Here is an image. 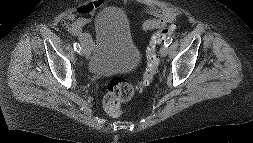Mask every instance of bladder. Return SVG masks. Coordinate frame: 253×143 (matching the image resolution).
<instances>
[{"instance_id":"obj_1","label":"bladder","mask_w":253,"mask_h":143,"mask_svg":"<svg viewBox=\"0 0 253 143\" xmlns=\"http://www.w3.org/2000/svg\"><path fill=\"white\" fill-rule=\"evenodd\" d=\"M95 42L87 60L90 73L99 76L129 71L141 58L133 40L125 11L117 6L101 10L95 17Z\"/></svg>"}]
</instances>
